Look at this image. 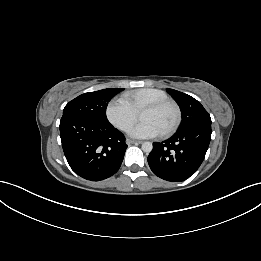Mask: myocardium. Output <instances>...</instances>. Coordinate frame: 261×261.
Masks as SVG:
<instances>
[{
    "label": "myocardium",
    "mask_w": 261,
    "mask_h": 261,
    "mask_svg": "<svg viewBox=\"0 0 261 261\" xmlns=\"http://www.w3.org/2000/svg\"><path fill=\"white\" fill-rule=\"evenodd\" d=\"M168 106H171L174 108L175 119H174L172 125L162 133L164 136H168V135L174 133L180 125L181 110H180V107L178 106V104L172 100L167 99V100H163V101H157V102L150 103L142 109L143 111L144 110H159V109H162V108H165Z\"/></svg>",
    "instance_id": "obj_1"
}]
</instances>
